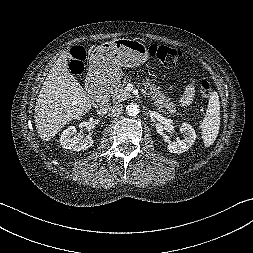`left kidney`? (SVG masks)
Wrapping results in <instances>:
<instances>
[{"label":"left kidney","mask_w":253,"mask_h":253,"mask_svg":"<svg viewBox=\"0 0 253 253\" xmlns=\"http://www.w3.org/2000/svg\"><path fill=\"white\" fill-rule=\"evenodd\" d=\"M179 130L181 133H184L185 138L183 140L177 139L174 142H169L167 149L171 153H183L187 151L195 142L196 133L190 124L182 123Z\"/></svg>","instance_id":"5707ae66"}]
</instances>
